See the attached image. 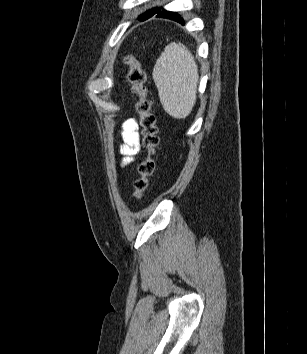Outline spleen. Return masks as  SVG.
I'll return each instance as SVG.
<instances>
[{
  "instance_id": "spleen-1",
  "label": "spleen",
  "mask_w": 307,
  "mask_h": 354,
  "mask_svg": "<svg viewBox=\"0 0 307 354\" xmlns=\"http://www.w3.org/2000/svg\"><path fill=\"white\" fill-rule=\"evenodd\" d=\"M164 110L176 119L186 118L196 102L198 67L181 43H170L157 59L152 73Z\"/></svg>"
}]
</instances>
